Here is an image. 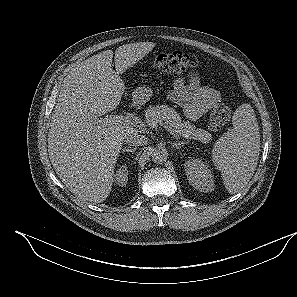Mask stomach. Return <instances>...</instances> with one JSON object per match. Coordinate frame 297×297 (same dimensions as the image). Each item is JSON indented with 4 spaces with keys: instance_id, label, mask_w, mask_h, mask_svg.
<instances>
[{
    "instance_id": "1",
    "label": "stomach",
    "mask_w": 297,
    "mask_h": 297,
    "mask_svg": "<svg viewBox=\"0 0 297 297\" xmlns=\"http://www.w3.org/2000/svg\"><path fill=\"white\" fill-rule=\"evenodd\" d=\"M152 89L147 86L139 87L132 93L133 101L136 103H145L150 100L152 96Z\"/></svg>"
}]
</instances>
